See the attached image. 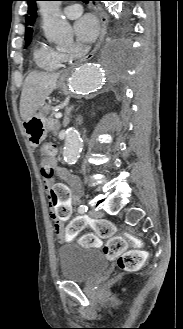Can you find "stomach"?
<instances>
[{
	"label": "stomach",
	"mask_w": 183,
	"mask_h": 329,
	"mask_svg": "<svg viewBox=\"0 0 183 329\" xmlns=\"http://www.w3.org/2000/svg\"><path fill=\"white\" fill-rule=\"evenodd\" d=\"M51 106L43 105L38 113L23 122V128L31 147H38L47 136V114Z\"/></svg>",
	"instance_id": "stomach-1"
}]
</instances>
